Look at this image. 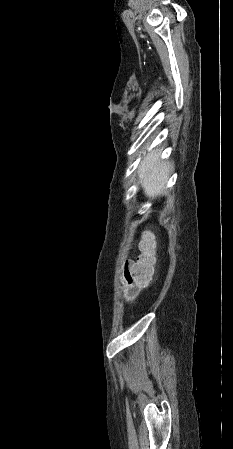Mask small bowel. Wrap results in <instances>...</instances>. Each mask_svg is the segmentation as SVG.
<instances>
[{"instance_id": "obj_1", "label": "small bowel", "mask_w": 233, "mask_h": 449, "mask_svg": "<svg viewBox=\"0 0 233 449\" xmlns=\"http://www.w3.org/2000/svg\"><path fill=\"white\" fill-rule=\"evenodd\" d=\"M123 285H124V288H125L126 290H128V289L131 287V284H130V282H129L128 279H127V274H125V276H124Z\"/></svg>"}]
</instances>
